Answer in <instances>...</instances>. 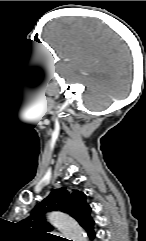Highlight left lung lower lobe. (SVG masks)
<instances>
[{"label":"left lung lower lobe","mask_w":146,"mask_h":241,"mask_svg":"<svg viewBox=\"0 0 146 241\" xmlns=\"http://www.w3.org/2000/svg\"><path fill=\"white\" fill-rule=\"evenodd\" d=\"M94 223V220H92L83 226V228L86 230L91 239H93L95 236V233L93 231Z\"/></svg>","instance_id":"obj_1"}]
</instances>
